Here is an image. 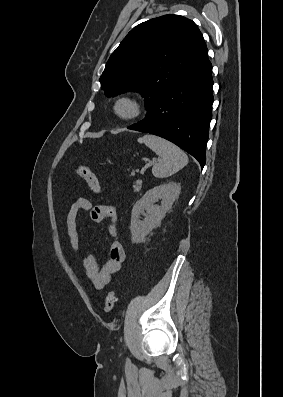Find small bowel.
Wrapping results in <instances>:
<instances>
[{"label": "small bowel", "instance_id": "c3829d8e", "mask_svg": "<svg viewBox=\"0 0 283 397\" xmlns=\"http://www.w3.org/2000/svg\"><path fill=\"white\" fill-rule=\"evenodd\" d=\"M82 211L89 212L90 217L94 222L100 223L108 220L109 232L111 236H116V207L107 204L93 206L88 199L78 198L71 204L65 214L67 235L72 250L78 251L80 247L77 217ZM125 257L124 248L116 239L111 243L109 258L102 267H100L97 259L92 254H88L84 258L83 264L86 275L92 282L93 286L96 289H103L107 284H109L112 275L121 269V265L124 262Z\"/></svg>", "mask_w": 283, "mask_h": 397}]
</instances>
